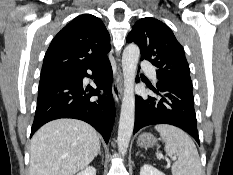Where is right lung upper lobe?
<instances>
[{"instance_id":"right-lung-upper-lobe-1","label":"right lung upper lobe","mask_w":233,"mask_h":175,"mask_svg":"<svg viewBox=\"0 0 233 175\" xmlns=\"http://www.w3.org/2000/svg\"><path fill=\"white\" fill-rule=\"evenodd\" d=\"M110 35L94 15L83 14L67 24L52 40L43 61L41 79L76 72L107 57Z\"/></svg>"}]
</instances>
